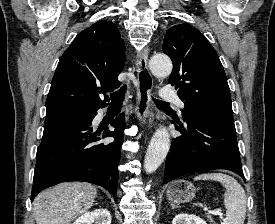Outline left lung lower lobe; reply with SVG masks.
<instances>
[{
  "instance_id": "1",
  "label": "left lung lower lobe",
  "mask_w": 275,
  "mask_h": 224,
  "mask_svg": "<svg viewBox=\"0 0 275 224\" xmlns=\"http://www.w3.org/2000/svg\"><path fill=\"white\" fill-rule=\"evenodd\" d=\"M175 129L182 135L172 140L166 158L163 183L205 170L227 169L245 181L233 121L198 116Z\"/></svg>"
}]
</instances>
